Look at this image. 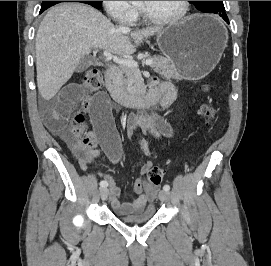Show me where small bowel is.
Instances as JSON below:
<instances>
[{"label": "small bowel", "mask_w": 271, "mask_h": 266, "mask_svg": "<svg viewBox=\"0 0 271 266\" xmlns=\"http://www.w3.org/2000/svg\"><path fill=\"white\" fill-rule=\"evenodd\" d=\"M153 83L157 84V80H154ZM159 86L165 91V95L161 100V106L167 109L175 101L176 91L170 83H162ZM82 96L83 91L80 85L71 83L64 86L52 99L43 102L41 108L48 127L55 132L62 133L68 114L76 106ZM90 123L91 130L89 135L100 145L109 159L116 162L121 154V142L115 126L110 102L104 94H98L93 98ZM160 128L165 133H171L168 126L161 125ZM97 155L98 150L89 151L80 155L78 157L80 167L84 170L87 169L95 162ZM151 166V163H146L141 168L140 173H147ZM106 181L108 182V200L113 209L119 214L143 210L147 204L154 200L158 191L157 186L146 185L143 180L138 177L133 184V189L138 194V198L132 202L122 203L119 200L120 188L116 181L110 176L106 177Z\"/></svg>", "instance_id": "1"}]
</instances>
